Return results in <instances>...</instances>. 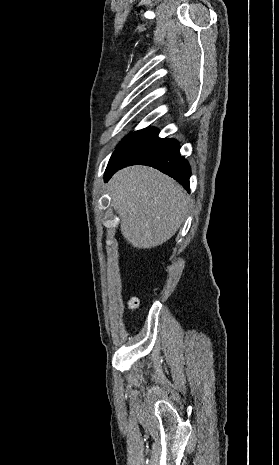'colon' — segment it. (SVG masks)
I'll return each instance as SVG.
<instances>
[{"instance_id": "1", "label": "colon", "mask_w": 279, "mask_h": 465, "mask_svg": "<svg viewBox=\"0 0 279 465\" xmlns=\"http://www.w3.org/2000/svg\"><path fill=\"white\" fill-rule=\"evenodd\" d=\"M130 306H131L132 308H136V307L138 306V300H137L136 298H132V299L130 300Z\"/></svg>"}]
</instances>
